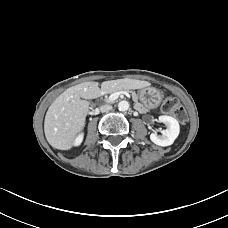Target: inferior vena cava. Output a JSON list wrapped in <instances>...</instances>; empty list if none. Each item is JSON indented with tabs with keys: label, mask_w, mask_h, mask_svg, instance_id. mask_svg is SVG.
<instances>
[{
	"label": "inferior vena cava",
	"mask_w": 228,
	"mask_h": 228,
	"mask_svg": "<svg viewBox=\"0 0 228 228\" xmlns=\"http://www.w3.org/2000/svg\"><path fill=\"white\" fill-rule=\"evenodd\" d=\"M110 110H112V106L111 105L106 104V105L100 106V111L101 112H108Z\"/></svg>",
	"instance_id": "602c4592"
}]
</instances>
